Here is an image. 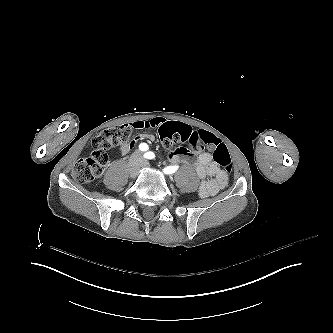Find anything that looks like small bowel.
<instances>
[{
    "label": "small bowel",
    "mask_w": 333,
    "mask_h": 333,
    "mask_svg": "<svg viewBox=\"0 0 333 333\" xmlns=\"http://www.w3.org/2000/svg\"><path fill=\"white\" fill-rule=\"evenodd\" d=\"M168 122L176 123L162 117H154L147 120L135 121L132 123V126L136 129L160 130L161 126ZM154 139L155 137L152 134H139L131 142L120 145L119 151L122 155H127L135 148L137 143L152 142ZM163 144L166 146L168 143L164 142ZM167 158L173 163H188L191 154L186 148L180 147L170 151ZM195 172L197 177L202 180L198 190V194L201 198L216 195L226 185V172L213 161L212 156L207 152L198 155L195 162ZM206 177L211 178L205 180Z\"/></svg>",
    "instance_id": "obj_1"
}]
</instances>
